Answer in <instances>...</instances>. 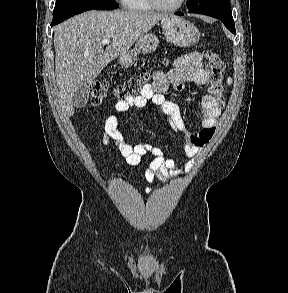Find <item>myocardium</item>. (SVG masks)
Here are the masks:
<instances>
[{"mask_svg":"<svg viewBox=\"0 0 288 293\" xmlns=\"http://www.w3.org/2000/svg\"><path fill=\"white\" fill-rule=\"evenodd\" d=\"M149 2L154 9L165 11V12H173L180 9L183 6L185 0H179L178 3L173 6H164L160 4L157 0H149Z\"/></svg>","mask_w":288,"mask_h":293,"instance_id":"1","label":"myocardium"}]
</instances>
